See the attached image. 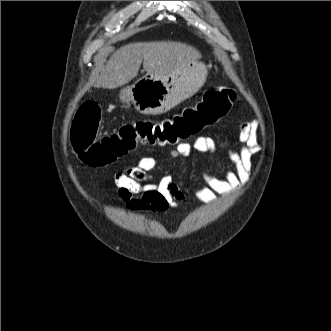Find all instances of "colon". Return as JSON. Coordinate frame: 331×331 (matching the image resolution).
Segmentation results:
<instances>
[{"instance_id":"obj_1","label":"colon","mask_w":331,"mask_h":331,"mask_svg":"<svg viewBox=\"0 0 331 331\" xmlns=\"http://www.w3.org/2000/svg\"><path fill=\"white\" fill-rule=\"evenodd\" d=\"M236 99L228 87L207 91L195 106L160 121L139 120L98 138L101 110L94 101L84 102L71 126V145L84 164L105 166L122 158L139 144L173 145L199 134L230 111Z\"/></svg>"}]
</instances>
